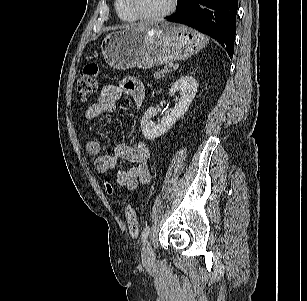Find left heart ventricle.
<instances>
[{
    "label": "left heart ventricle",
    "instance_id": "obj_1",
    "mask_svg": "<svg viewBox=\"0 0 307 301\" xmlns=\"http://www.w3.org/2000/svg\"><path fill=\"white\" fill-rule=\"evenodd\" d=\"M171 0H135V4L143 14H157L168 8Z\"/></svg>",
    "mask_w": 307,
    "mask_h": 301
}]
</instances>
